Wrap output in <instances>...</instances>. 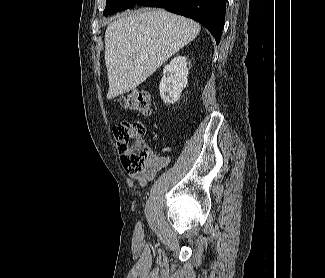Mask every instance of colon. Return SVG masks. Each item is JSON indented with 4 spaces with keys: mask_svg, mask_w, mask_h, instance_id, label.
Masks as SVG:
<instances>
[{
    "mask_svg": "<svg viewBox=\"0 0 325 278\" xmlns=\"http://www.w3.org/2000/svg\"><path fill=\"white\" fill-rule=\"evenodd\" d=\"M119 103L123 108L142 116H149L152 113L150 96L143 91L128 92L120 97ZM144 132V125L140 121H122L113 126L122 165L129 172L141 171L151 157V149L143 141Z\"/></svg>",
    "mask_w": 325,
    "mask_h": 278,
    "instance_id": "obj_1",
    "label": "colon"
}]
</instances>
